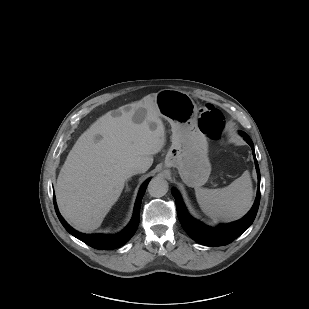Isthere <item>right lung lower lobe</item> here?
I'll use <instances>...</instances> for the list:
<instances>
[{
	"label": "right lung lower lobe",
	"mask_w": 309,
	"mask_h": 309,
	"mask_svg": "<svg viewBox=\"0 0 309 309\" xmlns=\"http://www.w3.org/2000/svg\"><path fill=\"white\" fill-rule=\"evenodd\" d=\"M149 180H147L141 187L138 198L135 203L134 208V215L129 223V225L119 234L107 236L102 234H96V235H88V234H82L71 228L66 221L62 218L60 215L56 201H55V195L53 196V202L54 207L56 210V214L62 223V225L65 227V229L74 237L78 238L79 240L83 241L87 245L95 248V249H102V250H111L118 248L122 245H124L135 233L140 220V205L141 200L143 198V195L145 193L146 187L148 185Z\"/></svg>",
	"instance_id": "obj_1"
}]
</instances>
